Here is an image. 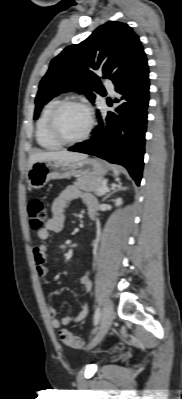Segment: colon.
I'll use <instances>...</instances> for the list:
<instances>
[{
    "label": "colon",
    "mask_w": 182,
    "mask_h": 399,
    "mask_svg": "<svg viewBox=\"0 0 182 399\" xmlns=\"http://www.w3.org/2000/svg\"><path fill=\"white\" fill-rule=\"evenodd\" d=\"M29 224L33 230L42 229L48 221V209L40 199H31L27 206ZM61 341L68 347L80 349L84 346V342L78 336L69 330L61 329L59 331Z\"/></svg>",
    "instance_id": "obj_1"
}]
</instances>
